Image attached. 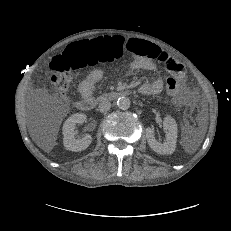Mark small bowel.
Segmentation results:
<instances>
[{
    "mask_svg": "<svg viewBox=\"0 0 231 231\" xmlns=\"http://www.w3.org/2000/svg\"><path fill=\"white\" fill-rule=\"evenodd\" d=\"M125 48L132 54L129 66L133 70L156 71L155 59L163 60V67L168 70L181 83L185 82V70L173 56L164 53L157 45L139 38H130L125 42ZM103 78L101 70H93L79 84V92L83 97L92 95L95 87ZM163 90V81L155 79L143 83L139 91L144 95H157Z\"/></svg>",
    "mask_w": 231,
    "mask_h": 231,
    "instance_id": "c3829d8e",
    "label": "small bowel"
}]
</instances>
